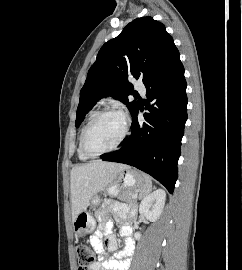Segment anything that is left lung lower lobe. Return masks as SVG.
Instances as JSON below:
<instances>
[{
	"mask_svg": "<svg viewBox=\"0 0 242 270\" xmlns=\"http://www.w3.org/2000/svg\"><path fill=\"white\" fill-rule=\"evenodd\" d=\"M144 85L147 89L145 122L138 123L137 107L132 115L130 137L124 139L119 150L100 157L104 161L134 166L153 176L172 193L187 120V84L180 56Z\"/></svg>",
	"mask_w": 242,
	"mask_h": 270,
	"instance_id": "left-lung-lower-lobe-1",
	"label": "left lung lower lobe"
}]
</instances>
